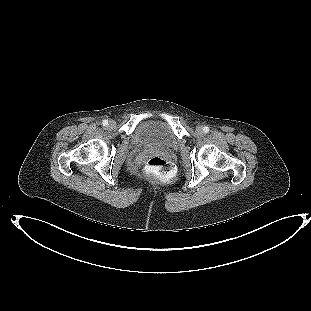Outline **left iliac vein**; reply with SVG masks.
Masks as SVG:
<instances>
[{
	"instance_id": "left-iliac-vein-1",
	"label": "left iliac vein",
	"mask_w": 311,
	"mask_h": 311,
	"mask_svg": "<svg viewBox=\"0 0 311 311\" xmlns=\"http://www.w3.org/2000/svg\"><path fill=\"white\" fill-rule=\"evenodd\" d=\"M196 133H198V134H202V133H203V128H202V126H197V127H196Z\"/></svg>"
}]
</instances>
